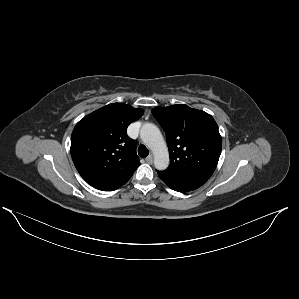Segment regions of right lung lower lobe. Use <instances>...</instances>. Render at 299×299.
<instances>
[{
  "instance_id": "right-lung-lower-lobe-1",
  "label": "right lung lower lobe",
  "mask_w": 299,
  "mask_h": 299,
  "mask_svg": "<svg viewBox=\"0 0 299 299\" xmlns=\"http://www.w3.org/2000/svg\"><path fill=\"white\" fill-rule=\"evenodd\" d=\"M127 181L125 182H121V183H117V184H113V185H109V186H105V187H102V188H99L100 190H103V191H113V190H116L118 189L119 187H121L122 185H124Z\"/></svg>"
}]
</instances>
